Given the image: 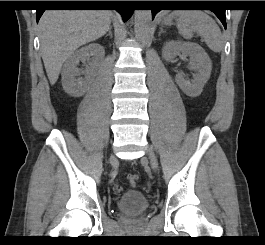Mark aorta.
Wrapping results in <instances>:
<instances>
[{"label":"aorta","mask_w":265,"mask_h":245,"mask_svg":"<svg viewBox=\"0 0 265 245\" xmlns=\"http://www.w3.org/2000/svg\"><path fill=\"white\" fill-rule=\"evenodd\" d=\"M152 19L151 10H135V30L139 37H144L150 27Z\"/></svg>","instance_id":"aorta-1"}]
</instances>
